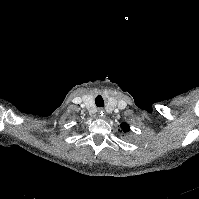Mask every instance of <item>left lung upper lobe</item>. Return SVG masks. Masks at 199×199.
<instances>
[{
    "instance_id": "5c2ea615",
    "label": "left lung upper lobe",
    "mask_w": 199,
    "mask_h": 199,
    "mask_svg": "<svg viewBox=\"0 0 199 199\" xmlns=\"http://www.w3.org/2000/svg\"><path fill=\"white\" fill-rule=\"evenodd\" d=\"M121 128L123 129L124 132H127L130 130V127L127 124H121Z\"/></svg>"
}]
</instances>
